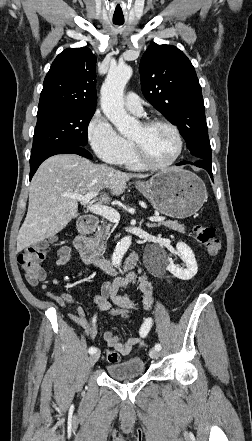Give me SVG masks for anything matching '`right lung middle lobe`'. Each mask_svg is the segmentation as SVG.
<instances>
[{
    "label": "right lung middle lobe",
    "mask_w": 252,
    "mask_h": 441,
    "mask_svg": "<svg viewBox=\"0 0 252 441\" xmlns=\"http://www.w3.org/2000/svg\"><path fill=\"white\" fill-rule=\"evenodd\" d=\"M95 109L48 106L38 108L31 158L60 146H85Z\"/></svg>",
    "instance_id": "right-lung-middle-lobe-1"
}]
</instances>
